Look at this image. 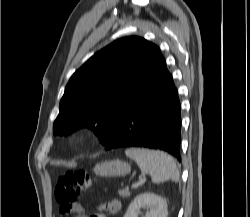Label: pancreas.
<instances>
[{
    "mask_svg": "<svg viewBox=\"0 0 250 217\" xmlns=\"http://www.w3.org/2000/svg\"><path fill=\"white\" fill-rule=\"evenodd\" d=\"M118 194H119V196H122V197H129L130 196V192L128 189L118 190Z\"/></svg>",
    "mask_w": 250,
    "mask_h": 217,
    "instance_id": "pancreas-1",
    "label": "pancreas"
}]
</instances>
